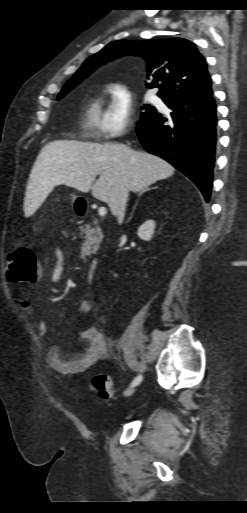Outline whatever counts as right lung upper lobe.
Masks as SVG:
<instances>
[{"label": "right lung upper lobe", "instance_id": "obj_1", "mask_svg": "<svg viewBox=\"0 0 247 513\" xmlns=\"http://www.w3.org/2000/svg\"><path fill=\"white\" fill-rule=\"evenodd\" d=\"M125 54L146 59L147 76L153 78L147 87L160 88L158 95L163 101L213 94L205 58L192 42L183 38L113 41L89 57L72 78L82 80L99 65Z\"/></svg>", "mask_w": 247, "mask_h": 513}]
</instances>
